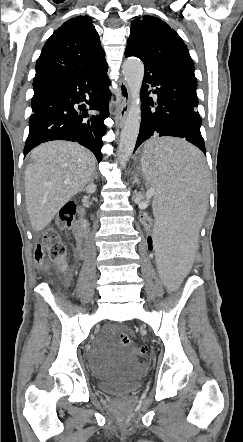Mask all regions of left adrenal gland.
Masks as SVG:
<instances>
[{"label": "left adrenal gland", "instance_id": "left-adrenal-gland-1", "mask_svg": "<svg viewBox=\"0 0 243 442\" xmlns=\"http://www.w3.org/2000/svg\"><path fill=\"white\" fill-rule=\"evenodd\" d=\"M133 184H137V185H139V180H138V175H137V174H134V181H133Z\"/></svg>", "mask_w": 243, "mask_h": 442}]
</instances>
